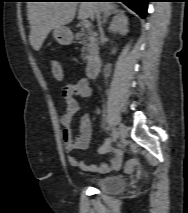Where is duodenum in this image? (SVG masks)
Returning <instances> with one entry per match:
<instances>
[{
    "label": "duodenum",
    "mask_w": 188,
    "mask_h": 213,
    "mask_svg": "<svg viewBox=\"0 0 188 213\" xmlns=\"http://www.w3.org/2000/svg\"><path fill=\"white\" fill-rule=\"evenodd\" d=\"M102 66V60L99 56L90 59L86 66V76L90 79L97 78Z\"/></svg>",
    "instance_id": "obj_1"
}]
</instances>
